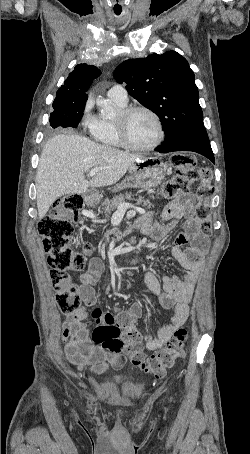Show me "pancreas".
I'll list each match as a JSON object with an SVG mask.
<instances>
[{
  "mask_svg": "<svg viewBox=\"0 0 250 454\" xmlns=\"http://www.w3.org/2000/svg\"><path fill=\"white\" fill-rule=\"evenodd\" d=\"M131 194H125L124 195H119L114 197L113 199H106L105 202L102 203V208L101 212L104 211L105 213L109 214L113 209H115L120 203H123L125 199H130ZM151 204L149 203V207ZM113 234V231H109L106 233V237L109 238V236Z\"/></svg>",
  "mask_w": 250,
  "mask_h": 454,
  "instance_id": "pancreas-1",
  "label": "pancreas"
}]
</instances>
